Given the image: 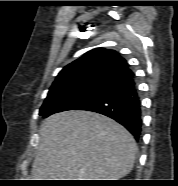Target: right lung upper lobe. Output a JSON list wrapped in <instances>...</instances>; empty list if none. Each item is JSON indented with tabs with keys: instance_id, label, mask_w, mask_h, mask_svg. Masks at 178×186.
I'll use <instances>...</instances> for the list:
<instances>
[{
	"instance_id": "1",
	"label": "right lung upper lobe",
	"mask_w": 178,
	"mask_h": 186,
	"mask_svg": "<svg viewBox=\"0 0 178 186\" xmlns=\"http://www.w3.org/2000/svg\"><path fill=\"white\" fill-rule=\"evenodd\" d=\"M132 74L126 60L119 53L96 48L65 66L49 92L92 83L111 85Z\"/></svg>"
}]
</instances>
